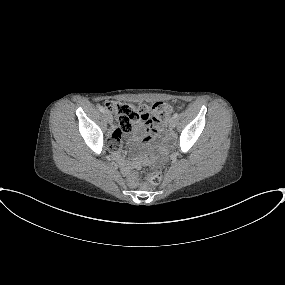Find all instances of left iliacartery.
Here are the masks:
<instances>
[{
  "instance_id": "44dca946",
  "label": "left iliac artery",
  "mask_w": 285,
  "mask_h": 285,
  "mask_svg": "<svg viewBox=\"0 0 285 285\" xmlns=\"http://www.w3.org/2000/svg\"><path fill=\"white\" fill-rule=\"evenodd\" d=\"M173 117L176 119L178 117V113H175Z\"/></svg>"
}]
</instances>
